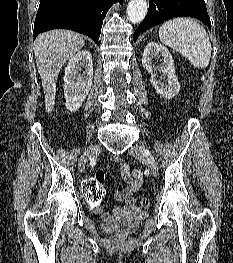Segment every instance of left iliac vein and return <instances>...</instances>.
I'll use <instances>...</instances> for the list:
<instances>
[{"instance_id": "obj_1", "label": "left iliac vein", "mask_w": 233, "mask_h": 263, "mask_svg": "<svg viewBox=\"0 0 233 263\" xmlns=\"http://www.w3.org/2000/svg\"><path fill=\"white\" fill-rule=\"evenodd\" d=\"M129 154L135 157L136 159L147 161L151 173L154 176H158L159 165L155 160L154 156L150 153V151L147 148H145L142 145L136 144L129 149Z\"/></svg>"}]
</instances>
